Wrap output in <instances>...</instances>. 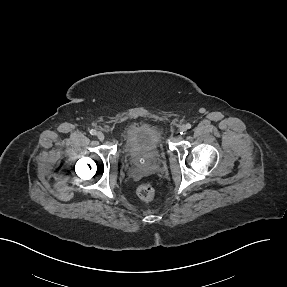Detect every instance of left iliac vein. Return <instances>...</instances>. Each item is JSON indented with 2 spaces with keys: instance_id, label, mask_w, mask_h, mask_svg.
Instances as JSON below:
<instances>
[{
  "instance_id": "1",
  "label": "left iliac vein",
  "mask_w": 287,
  "mask_h": 287,
  "mask_svg": "<svg viewBox=\"0 0 287 287\" xmlns=\"http://www.w3.org/2000/svg\"><path fill=\"white\" fill-rule=\"evenodd\" d=\"M186 131H187L186 125H182V126L180 127V132H181V133H185Z\"/></svg>"
}]
</instances>
